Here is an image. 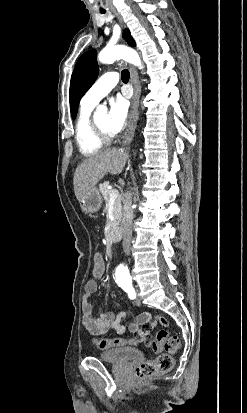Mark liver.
I'll return each instance as SVG.
<instances>
[{
	"instance_id": "liver-1",
	"label": "liver",
	"mask_w": 247,
	"mask_h": 413,
	"mask_svg": "<svg viewBox=\"0 0 247 413\" xmlns=\"http://www.w3.org/2000/svg\"><path fill=\"white\" fill-rule=\"evenodd\" d=\"M126 158L128 152L125 148H117V146L99 150L96 154L84 158L74 172L73 184L76 198L80 200L91 188H95V184L103 178L104 174L122 172Z\"/></svg>"
}]
</instances>
